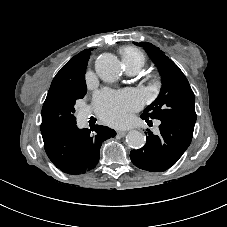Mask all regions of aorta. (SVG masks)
I'll return each instance as SVG.
<instances>
[{"mask_svg":"<svg viewBox=\"0 0 227 227\" xmlns=\"http://www.w3.org/2000/svg\"><path fill=\"white\" fill-rule=\"evenodd\" d=\"M95 71L101 80L114 82L121 72L120 61L114 54L103 53L95 61ZM126 142L130 147L139 149L144 146L146 136L140 131L131 130L126 136Z\"/></svg>","mask_w":227,"mask_h":227,"instance_id":"aorta-1","label":"aorta"}]
</instances>
